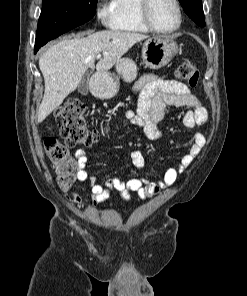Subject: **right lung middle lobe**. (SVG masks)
I'll return each mask as SVG.
<instances>
[{
	"label": "right lung middle lobe",
	"mask_w": 247,
	"mask_h": 296,
	"mask_svg": "<svg viewBox=\"0 0 247 296\" xmlns=\"http://www.w3.org/2000/svg\"><path fill=\"white\" fill-rule=\"evenodd\" d=\"M97 0H42L35 50L68 30L89 21Z\"/></svg>",
	"instance_id": "obj_1"
}]
</instances>
